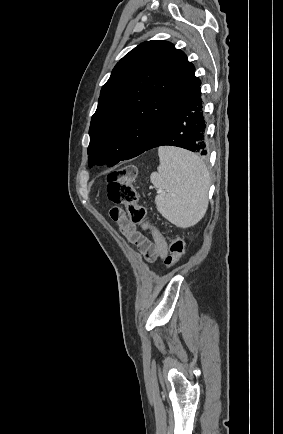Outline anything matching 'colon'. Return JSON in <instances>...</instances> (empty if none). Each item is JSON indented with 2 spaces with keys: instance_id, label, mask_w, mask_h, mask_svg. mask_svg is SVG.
<instances>
[{
  "instance_id": "obj_1",
  "label": "colon",
  "mask_w": 283,
  "mask_h": 434,
  "mask_svg": "<svg viewBox=\"0 0 283 434\" xmlns=\"http://www.w3.org/2000/svg\"><path fill=\"white\" fill-rule=\"evenodd\" d=\"M137 175L134 165H126L114 170L107 175V194L111 202L123 205L130 221L139 224L142 228H148L147 212L143 205L138 203V196L133 187V182ZM170 254L165 260L168 269L175 266L184 254V240L177 236H168Z\"/></svg>"
}]
</instances>
